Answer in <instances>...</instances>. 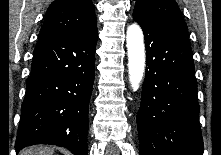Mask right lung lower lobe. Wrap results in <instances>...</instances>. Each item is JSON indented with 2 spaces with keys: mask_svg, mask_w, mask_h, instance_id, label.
<instances>
[{
  "mask_svg": "<svg viewBox=\"0 0 221 155\" xmlns=\"http://www.w3.org/2000/svg\"><path fill=\"white\" fill-rule=\"evenodd\" d=\"M97 26L40 37L27 81L16 152L34 144L87 155L88 109L94 82Z\"/></svg>",
  "mask_w": 221,
  "mask_h": 155,
  "instance_id": "98d812e1",
  "label": "right lung lower lobe"
}]
</instances>
